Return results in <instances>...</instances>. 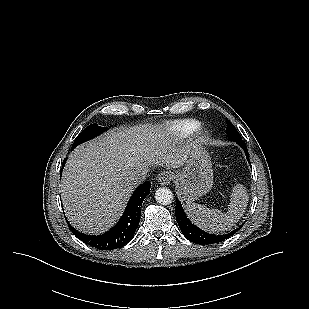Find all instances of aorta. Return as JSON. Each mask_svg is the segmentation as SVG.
<instances>
[{
    "instance_id": "762f6f07",
    "label": "aorta",
    "mask_w": 309,
    "mask_h": 309,
    "mask_svg": "<svg viewBox=\"0 0 309 309\" xmlns=\"http://www.w3.org/2000/svg\"><path fill=\"white\" fill-rule=\"evenodd\" d=\"M155 199L161 205H169L173 201V193L168 188H158L155 192Z\"/></svg>"
}]
</instances>
